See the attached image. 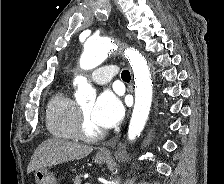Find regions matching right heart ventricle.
Masks as SVG:
<instances>
[{"mask_svg": "<svg viewBox=\"0 0 224 184\" xmlns=\"http://www.w3.org/2000/svg\"><path fill=\"white\" fill-rule=\"evenodd\" d=\"M78 104L66 90L55 92L46 106V126L52 136L77 139Z\"/></svg>", "mask_w": 224, "mask_h": 184, "instance_id": "obj_1", "label": "right heart ventricle"}]
</instances>
